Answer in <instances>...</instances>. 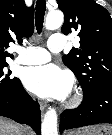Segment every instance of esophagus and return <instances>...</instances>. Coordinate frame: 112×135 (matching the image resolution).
I'll return each mask as SVG.
<instances>
[{
	"label": "esophagus",
	"instance_id": "obj_1",
	"mask_svg": "<svg viewBox=\"0 0 112 135\" xmlns=\"http://www.w3.org/2000/svg\"><path fill=\"white\" fill-rule=\"evenodd\" d=\"M45 108H46V104L40 102V110H41L42 112H44Z\"/></svg>",
	"mask_w": 112,
	"mask_h": 135
}]
</instances>
